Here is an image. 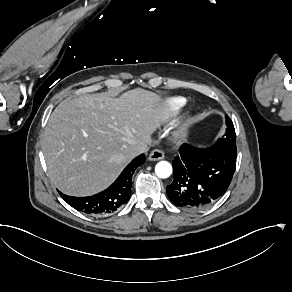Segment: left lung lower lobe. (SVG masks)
I'll list each match as a JSON object with an SVG mask.
<instances>
[{
    "mask_svg": "<svg viewBox=\"0 0 292 292\" xmlns=\"http://www.w3.org/2000/svg\"><path fill=\"white\" fill-rule=\"evenodd\" d=\"M172 161L173 182L166 187L177 207L196 211L215 203L228 189L237 151L214 145L208 149L183 144Z\"/></svg>",
    "mask_w": 292,
    "mask_h": 292,
    "instance_id": "1",
    "label": "left lung lower lobe"
}]
</instances>
